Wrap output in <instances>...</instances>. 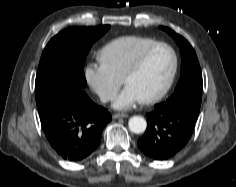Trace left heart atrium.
Masks as SVG:
<instances>
[{"label": "left heart atrium", "instance_id": "39dd6f15", "mask_svg": "<svg viewBox=\"0 0 236 187\" xmlns=\"http://www.w3.org/2000/svg\"><path fill=\"white\" fill-rule=\"evenodd\" d=\"M141 100L139 94L131 86L126 85L115 99L113 106L119 110H127L132 108Z\"/></svg>", "mask_w": 236, "mask_h": 187}]
</instances>
